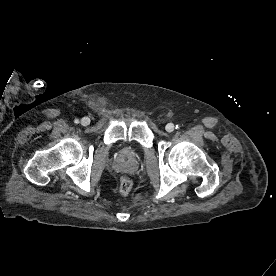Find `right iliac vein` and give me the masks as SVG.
<instances>
[{
	"mask_svg": "<svg viewBox=\"0 0 276 276\" xmlns=\"http://www.w3.org/2000/svg\"><path fill=\"white\" fill-rule=\"evenodd\" d=\"M81 124H82L83 126L89 125V124H90V119H89L88 117H83V118L81 119Z\"/></svg>",
	"mask_w": 276,
	"mask_h": 276,
	"instance_id": "obj_1",
	"label": "right iliac vein"
}]
</instances>
